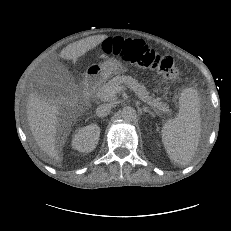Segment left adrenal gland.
Masks as SVG:
<instances>
[{"label":"left adrenal gland","instance_id":"left-adrenal-gland-1","mask_svg":"<svg viewBox=\"0 0 231 231\" xmlns=\"http://www.w3.org/2000/svg\"><path fill=\"white\" fill-rule=\"evenodd\" d=\"M141 111L147 112V113L151 114L152 116H154V113L151 112L147 107H143V108L141 109Z\"/></svg>","mask_w":231,"mask_h":231}]
</instances>
